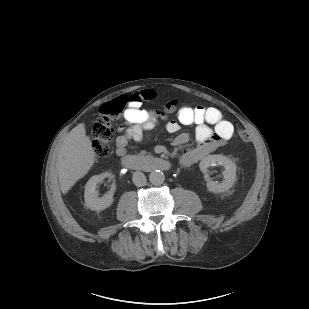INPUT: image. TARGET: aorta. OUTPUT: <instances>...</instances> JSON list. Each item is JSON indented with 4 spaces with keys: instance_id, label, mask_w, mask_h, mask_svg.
<instances>
[{
    "instance_id": "aorta-1",
    "label": "aorta",
    "mask_w": 309,
    "mask_h": 309,
    "mask_svg": "<svg viewBox=\"0 0 309 309\" xmlns=\"http://www.w3.org/2000/svg\"><path fill=\"white\" fill-rule=\"evenodd\" d=\"M149 180L153 185H161L165 181V175L162 171L155 170L150 173Z\"/></svg>"
}]
</instances>
